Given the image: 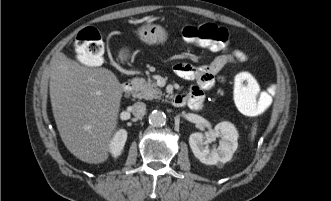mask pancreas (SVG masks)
<instances>
[{
  "instance_id": "1",
  "label": "pancreas",
  "mask_w": 331,
  "mask_h": 201,
  "mask_svg": "<svg viewBox=\"0 0 331 201\" xmlns=\"http://www.w3.org/2000/svg\"><path fill=\"white\" fill-rule=\"evenodd\" d=\"M131 83L134 86V96L140 99L153 100L162 95V91L157 84L152 81H146L144 78H133Z\"/></svg>"
}]
</instances>
